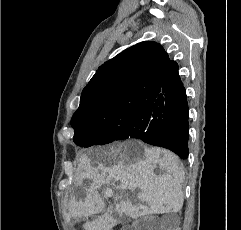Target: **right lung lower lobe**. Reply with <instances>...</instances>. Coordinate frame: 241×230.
I'll use <instances>...</instances> for the list:
<instances>
[{"label":"right lung lower lobe","mask_w":241,"mask_h":230,"mask_svg":"<svg viewBox=\"0 0 241 230\" xmlns=\"http://www.w3.org/2000/svg\"><path fill=\"white\" fill-rule=\"evenodd\" d=\"M144 116L150 119L147 129L130 133L129 138L167 148L183 159L188 157L187 96L176 62L166 70L160 92L153 103L146 106Z\"/></svg>","instance_id":"98d812e1"}]
</instances>
